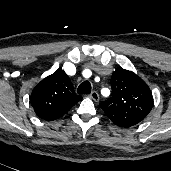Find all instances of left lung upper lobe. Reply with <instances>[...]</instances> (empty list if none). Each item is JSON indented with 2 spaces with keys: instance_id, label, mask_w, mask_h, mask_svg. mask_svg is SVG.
Returning <instances> with one entry per match:
<instances>
[{
  "instance_id": "left-lung-upper-lobe-1",
  "label": "left lung upper lobe",
  "mask_w": 171,
  "mask_h": 171,
  "mask_svg": "<svg viewBox=\"0 0 171 171\" xmlns=\"http://www.w3.org/2000/svg\"><path fill=\"white\" fill-rule=\"evenodd\" d=\"M111 86L112 97L100 103L110 120L123 128L142 122L153 106L148 85L133 72L120 68L113 72Z\"/></svg>"
}]
</instances>
